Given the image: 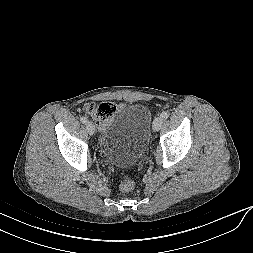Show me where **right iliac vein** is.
<instances>
[{
	"label": "right iliac vein",
	"instance_id": "1",
	"mask_svg": "<svg viewBox=\"0 0 253 253\" xmlns=\"http://www.w3.org/2000/svg\"><path fill=\"white\" fill-rule=\"evenodd\" d=\"M86 129L90 134H93L95 132V126L92 122L86 123Z\"/></svg>",
	"mask_w": 253,
	"mask_h": 253
}]
</instances>
